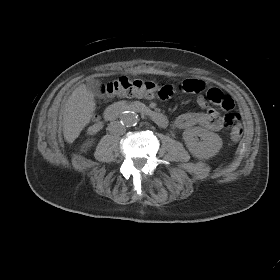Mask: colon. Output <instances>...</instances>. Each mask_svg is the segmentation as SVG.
<instances>
[{
    "label": "colon",
    "instance_id": "obj_1",
    "mask_svg": "<svg viewBox=\"0 0 280 280\" xmlns=\"http://www.w3.org/2000/svg\"><path fill=\"white\" fill-rule=\"evenodd\" d=\"M102 92L109 96H144L158 97L162 100H166L173 96L174 87L171 85H160L153 81L122 76L105 84L102 87ZM207 98L211 103L219 105L226 111V115L223 119L224 127L230 128V135L233 140H239L243 134V127L240 123V114L235 110L233 99L229 96H225L217 88L209 89Z\"/></svg>",
    "mask_w": 280,
    "mask_h": 280
}]
</instances>
